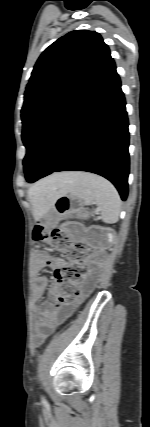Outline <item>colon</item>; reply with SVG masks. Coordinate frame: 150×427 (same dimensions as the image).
<instances>
[{"label":"colon","instance_id":"1","mask_svg":"<svg viewBox=\"0 0 150 427\" xmlns=\"http://www.w3.org/2000/svg\"><path fill=\"white\" fill-rule=\"evenodd\" d=\"M33 238L36 242H46L52 248L67 254L70 264L55 270L54 289L59 304L73 301L78 294L79 286L86 278V266L83 261L86 250L80 245H73L68 233L62 229L47 232L42 226H37Z\"/></svg>","mask_w":150,"mask_h":427}]
</instances>
